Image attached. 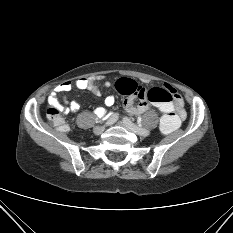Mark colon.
Masks as SVG:
<instances>
[{"mask_svg": "<svg viewBox=\"0 0 233 233\" xmlns=\"http://www.w3.org/2000/svg\"><path fill=\"white\" fill-rule=\"evenodd\" d=\"M115 89L123 95L133 96L141 101L151 102L162 112L160 130L163 134L174 133L180 126L181 117L173 109V94L163 87L144 88L131 79H120ZM48 119L59 130L66 131L67 125L60 108L52 106L47 112Z\"/></svg>", "mask_w": 233, "mask_h": 233, "instance_id": "colon-1", "label": "colon"}]
</instances>
